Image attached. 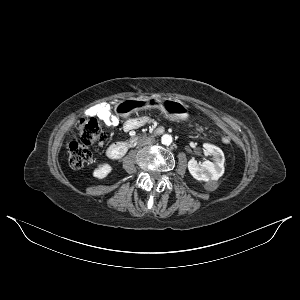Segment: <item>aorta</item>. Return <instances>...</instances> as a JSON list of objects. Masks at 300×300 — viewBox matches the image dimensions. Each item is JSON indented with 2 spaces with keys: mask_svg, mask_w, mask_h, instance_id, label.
<instances>
[{
  "mask_svg": "<svg viewBox=\"0 0 300 300\" xmlns=\"http://www.w3.org/2000/svg\"><path fill=\"white\" fill-rule=\"evenodd\" d=\"M161 142L163 145H170L172 143V136L169 135V134H164L162 137H161Z\"/></svg>",
  "mask_w": 300,
  "mask_h": 300,
  "instance_id": "1",
  "label": "aorta"
}]
</instances>
